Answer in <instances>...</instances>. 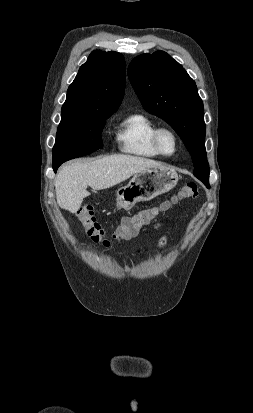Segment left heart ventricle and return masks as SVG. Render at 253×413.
Instances as JSON below:
<instances>
[{"label":"left heart ventricle","mask_w":253,"mask_h":413,"mask_svg":"<svg viewBox=\"0 0 253 413\" xmlns=\"http://www.w3.org/2000/svg\"><path fill=\"white\" fill-rule=\"evenodd\" d=\"M160 144H161V148L165 153H172L174 151L175 148V142L173 137L167 133L164 132L161 134L160 136Z\"/></svg>","instance_id":"b2bd125f"}]
</instances>
